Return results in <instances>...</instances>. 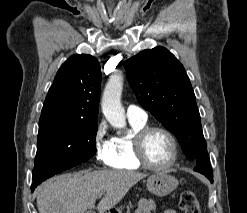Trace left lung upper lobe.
<instances>
[{"label": "left lung upper lobe", "instance_id": "obj_1", "mask_svg": "<svg viewBox=\"0 0 247 213\" xmlns=\"http://www.w3.org/2000/svg\"><path fill=\"white\" fill-rule=\"evenodd\" d=\"M139 104L171 131L190 159L207 145L195 95L183 65L166 48L147 49L124 63Z\"/></svg>", "mask_w": 247, "mask_h": 213}]
</instances>
